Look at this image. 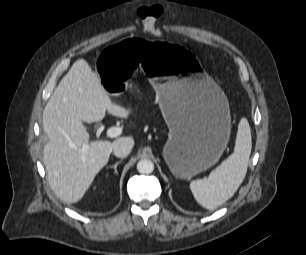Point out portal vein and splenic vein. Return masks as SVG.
<instances>
[{"label": "portal vein and splenic vein", "mask_w": 306, "mask_h": 255, "mask_svg": "<svg viewBox=\"0 0 306 255\" xmlns=\"http://www.w3.org/2000/svg\"><path fill=\"white\" fill-rule=\"evenodd\" d=\"M121 133L122 129L120 127H110L109 129H107L106 135L109 138H115L121 135ZM82 149L83 151H86L88 149V145H84Z\"/></svg>", "instance_id": "obj_1"}]
</instances>
